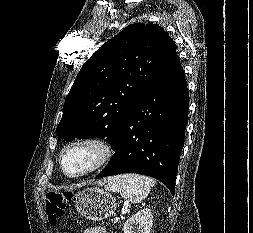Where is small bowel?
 I'll use <instances>...</instances> for the list:
<instances>
[{"mask_svg": "<svg viewBox=\"0 0 253 233\" xmlns=\"http://www.w3.org/2000/svg\"><path fill=\"white\" fill-rule=\"evenodd\" d=\"M83 233H108V232L104 227L97 226V227L90 228L84 231Z\"/></svg>", "mask_w": 253, "mask_h": 233, "instance_id": "c3829d8e", "label": "small bowel"}]
</instances>
